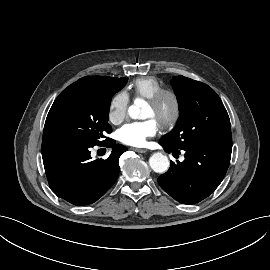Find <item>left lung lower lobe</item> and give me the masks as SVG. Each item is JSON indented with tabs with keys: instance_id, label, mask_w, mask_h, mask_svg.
Segmentation results:
<instances>
[{
	"instance_id": "0a47b994",
	"label": "left lung lower lobe",
	"mask_w": 270,
	"mask_h": 270,
	"mask_svg": "<svg viewBox=\"0 0 270 270\" xmlns=\"http://www.w3.org/2000/svg\"><path fill=\"white\" fill-rule=\"evenodd\" d=\"M167 152H179L159 141ZM185 160L170 163L159 176L161 188L183 204H193L208 197L222 182L230 164L232 144L196 142L182 149Z\"/></svg>"
}]
</instances>
